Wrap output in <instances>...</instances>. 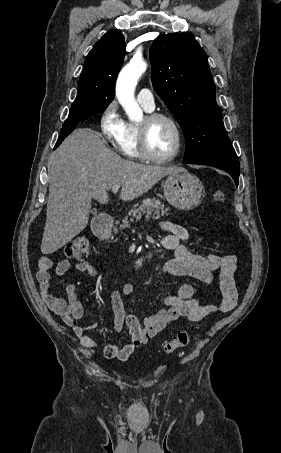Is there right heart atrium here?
Segmentation results:
<instances>
[{
	"label": "right heart atrium",
	"instance_id": "obj_1",
	"mask_svg": "<svg viewBox=\"0 0 281 453\" xmlns=\"http://www.w3.org/2000/svg\"><path fill=\"white\" fill-rule=\"evenodd\" d=\"M117 98L127 100L130 96V87L128 79H117L116 81ZM124 120L119 113L117 101L110 102L101 112L99 119V128L102 136L109 142H116L122 132ZM105 158L115 161L113 153L107 151Z\"/></svg>",
	"mask_w": 281,
	"mask_h": 453
}]
</instances>
